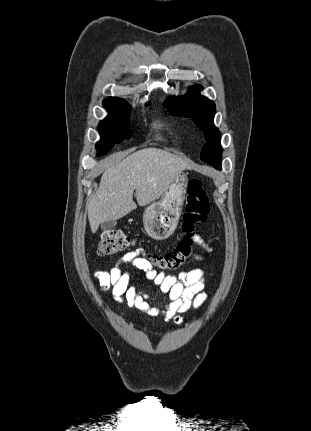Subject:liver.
<instances>
[{"mask_svg": "<svg viewBox=\"0 0 311 431\" xmlns=\"http://www.w3.org/2000/svg\"><path fill=\"white\" fill-rule=\"evenodd\" d=\"M183 170L191 168L180 156L157 148L138 150L119 164L109 166L88 206L92 233L103 221L120 219L138 206H148L158 200ZM134 192L137 204L133 200Z\"/></svg>", "mask_w": 311, "mask_h": 431, "instance_id": "liver-1", "label": "liver"}]
</instances>
